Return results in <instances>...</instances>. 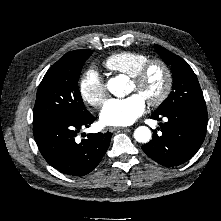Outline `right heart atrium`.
Returning <instances> with one entry per match:
<instances>
[{
    "instance_id": "d8ad5b80",
    "label": "right heart atrium",
    "mask_w": 221,
    "mask_h": 221,
    "mask_svg": "<svg viewBox=\"0 0 221 221\" xmlns=\"http://www.w3.org/2000/svg\"><path fill=\"white\" fill-rule=\"evenodd\" d=\"M79 92L84 102L99 107L107 97V87L100 74L93 68L86 70L79 81Z\"/></svg>"
}]
</instances>
